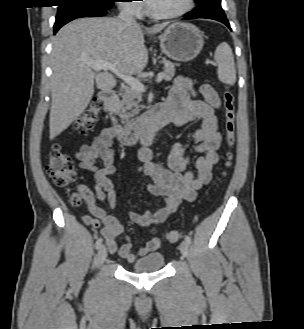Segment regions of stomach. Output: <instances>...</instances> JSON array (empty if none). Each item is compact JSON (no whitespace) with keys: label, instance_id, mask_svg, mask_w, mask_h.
I'll return each instance as SVG.
<instances>
[{"label":"stomach","instance_id":"0dacf381","mask_svg":"<svg viewBox=\"0 0 304 329\" xmlns=\"http://www.w3.org/2000/svg\"><path fill=\"white\" fill-rule=\"evenodd\" d=\"M162 52L175 61H191L203 48V33L190 23L171 24L159 37Z\"/></svg>","mask_w":304,"mask_h":329}]
</instances>
